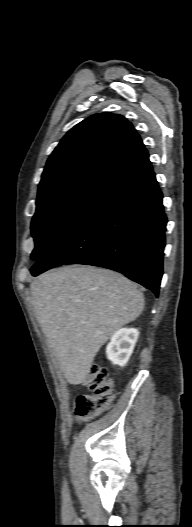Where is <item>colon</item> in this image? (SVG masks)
Wrapping results in <instances>:
<instances>
[{
    "mask_svg": "<svg viewBox=\"0 0 192 527\" xmlns=\"http://www.w3.org/2000/svg\"><path fill=\"white\" fill-rule=\"evenodd\" d=\"M84 385L91 392L77 398L75 415L80 421H88L102 413L115 396L114 383L104 366L93 364L84 380Z\"/></svg>",
    "mask_w": 192,
    "mask_h": 527,
    "instance_id": "colon-1",
    "label": "colon"
}]
</instances>
